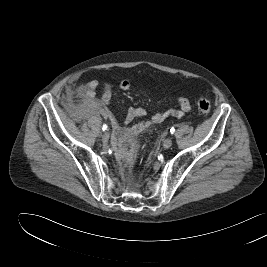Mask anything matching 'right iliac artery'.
Segmentation results:
<instances>
[{"label": "right iliac artery", "mask_w": 267, "mask_h": 267, "mask_svg": "<svg viewBox=\"0 0 267 267\" xmlns=\"http://www.w3.org/2000/svg\"><path fill=\"white\" fill-rule=\"evenodd\" d=\"M102 129H103V131L106 130L107 129V125L104 124Z\"/></svg>", "instance_id": "obj_1"}]
</instances>
